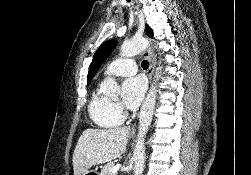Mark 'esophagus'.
Masks as SVG:
<instances>
[{"instance_id": "obj_1", "label": "esophagus", "mask_w": 251, "mask_h": 175, "mask_svg": "<svg viewBox=\"0 0 251 175\" xmlns=\"http://www.w3.org/2000/svg\"><path fill=\"white\" fill-rule=\"evenodd\" d=\"M143 56L145 58H147V60L149 62V67H148V70H147V76H148V79L150 81L151 77H152L153 70H154V56H153V53L151 52L150 48H147L146 50H144ZM134 128L135 127H133V130H134Z\"/></svg>"}]
</instances>
